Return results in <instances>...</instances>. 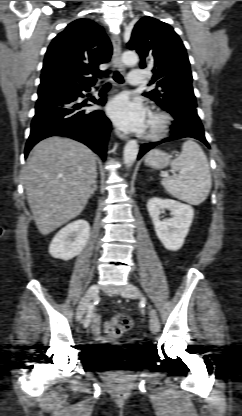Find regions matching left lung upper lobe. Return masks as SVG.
Wrapping results in <instances>:
<instances>
[{"label": "left lung upper lobe", "mask_w": 242, "mask_h": 416, "mask_svg": "<svg viewBox=\"0 0 242 416\" xmlns=\"http://www.w3.org/2000/svg\"><path fill=\"white\" fill-rule=\"evenodd\" d=\"M127 46L140 55L141 68L153 64L150 84L157 87L144 96L175 118L194 115L200 121L186 49L173 28L146 16L135 25Z\"/></svg>", "instance_id": "left-lung-upper-lobe-1"}]
</instances>
